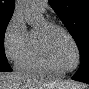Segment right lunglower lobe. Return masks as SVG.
Here are the masks:
<instances>
[{"mask_svg":"<svg viewBox=\"0 0 89 89\" xmlns=\"http://www.w3.org/2000/svg\"><path fill=\"white\" fill-rule=\"evenodd\" d=\"M0 71H12L10 65L8 64V61H1L0 62Z\"/></svg>","mask_w":89,"mask_h":89,"instance_id":"1","label":"right lung lower lobe"}]
</instances>
